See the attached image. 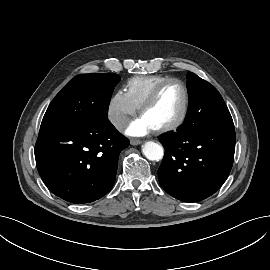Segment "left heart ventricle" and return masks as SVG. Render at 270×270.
<instances>
[{
    "label": "left heart ventricle",
    "mask_w": 270,
    "mask_h": 270,
    "mask_svg": "<svg viewBox=\"0 0 270 270\" xmlns=\"http://www.w3.org/2000/svg\"><path fill=\"white\" fill-rule=\"evenodd\" d=\"M184 103V91L180 84L171 83L159 94L156 101L143 114L154 128L175 120L181 113Z\"/></svg>",
    "instance_id": "1"
}]
</instances>
